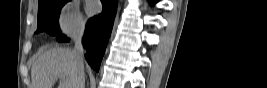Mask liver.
<instances>
[{"label":"liver","instance_id":"liver-1","mask_svg":"<svg viewBox=\"0 0 267 88\" xmlns=\"http://www.w3.org/2000/svg\"><path fill=\"white\" fill-rule=\"evenodd\" d=\"M59 76L65 80L59 88H77L78 69L73 50L53 48L42 54L31 69V88H53Z\"/></svg>","mask_w":267,"mask_h":88}]
</instances>
